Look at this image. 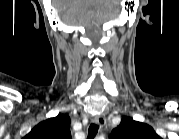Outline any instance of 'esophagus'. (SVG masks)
<instances>
[{
	"label": "esophagus",
	"mask_w": 179,
	"mask_h": 139,
	"mask_svg": "<svg viewBox=\"0 0 179 139\" xmlns=\"http://www.w3.org/2000/svg\"><path fill=\"white\" fill-rule=\"evenodd\" d=\"M92 121L100 127H103L106 124V119L103 115H98L94 117Z\"/></svg>",
	"instance_id": "34e87169"
}]
</instances>
